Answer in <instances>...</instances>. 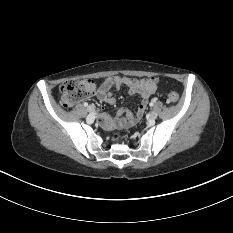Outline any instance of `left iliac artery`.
I'll return each instance as SVG.
<instances>
[{
	"label": "left iliac artery",
	"mask_w": 233,
	"mask_h": 233,
	"mask_svg": "<svg viewBox=\"0 0 233 233\" xmlns=\"http://www.w3.org/2000/svg\"><path fill=\"white\" fill-rule=\"evenodd\" d=\"M149 105L152 107V106L154 105V103H153V102H151Z\"/></svg>",
	"instance_id": "left-iliac-artery-1"
}]
</instances>
